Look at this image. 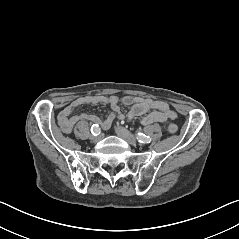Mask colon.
I'll list each match as a JSON object with an SVG mask.
<instances>
[{"mask_svg": "<svg viewBox=\"0 0 239 239\" xmlns=\"http://www.w3.org/2000/svg\"><path fill=\"white\" fill-rule=\"evenodd\" d=\"M168 131H169L171 134L176 133V131H177L176 125H175V124H170V125L168 126Z\"/></svg>", "mask_w": 239, "mask_h": 239, "instance_id": "colon-1", "label": "colon"}]
</instances>
